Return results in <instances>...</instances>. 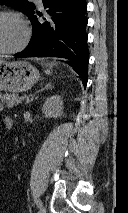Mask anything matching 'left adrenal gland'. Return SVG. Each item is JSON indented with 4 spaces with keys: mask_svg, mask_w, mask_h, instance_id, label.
<instances>
[{
    "mask_svg": "<svg viewBox=\"0 0 128 213\" xmlns=\"http://www.w3.org/2000/svg\"><path fill=\"white\" fill-rule=\"evenodd\" d=\"M51 88H52L51 83L46 84L44 88H42V89L36 91V92L34 93V95H32V97L26 101V104H28V103H30L31 101H33V99H34V97H35V95H36L37 93L42 92V91H44V90L51 89Z\"/></svg>",
    "mask_w": 128,
    "mask_h": 213,
    "instance_id": "left-adrenal-gland-1",
    "label": "left adrenal gland"
}]
</instances>
